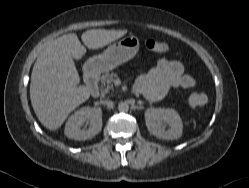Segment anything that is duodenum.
I'll list each match as a JSON object with an SVG mask.
<instances>
[{
  "instance_id": "duodenum-1",
  "label": "duodenum",
  "mask_w": 249,
  "mask_h": 188,
  "mask_svg": "<svg viewBox=\"0 0 249 188\" xmlns=\"http://www.w3.org/2000/svg\"><path fill=\"white\" fill-rule=\"evenodd\" d=\"M98 74L94 70H87L85 74L86 84L92 97L99 95Z\"/></svg>"
}]
</instances>
